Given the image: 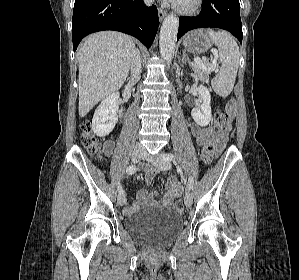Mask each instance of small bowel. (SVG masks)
I'll return each mask as SVG.
<instances>
[{
  "label": "small bowel",
  "mask_w": 299,
  "mask_h": 280,
  "mask_svg": "<svg viewBox=\"0 0 299 280\" xmlns=\"http://www.w3.org/2000/svg\"><path fill=\"white\" fill-rule=\"evenodd\" d=\"M230 126L225 127L221 132L216 133L213 127H200L197 124L191 125V132L196 140V145L201 153L202 149L206 145H212L214 152H218L223 149L227 143ZM114 148V142L108 140L104 144V153L110 155ZM156 177V172L150 170L147 172L145 182L150 184ZM182 188L179 183L171 179L167 184V190L161 201L155 199V193H149L146 190H140L137 195V201L134 202L129 208L125 209L126 214H133L137 212L142 206H169L176 198L181 195Z\"/></svg>",
  "instance_id": "c3829d8e"
}]
</instances>
